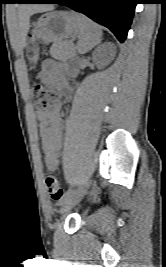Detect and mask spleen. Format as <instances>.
Wrapping results in <instances>:
<instances>
[{"instance_id": "1", "label": "spleen", "mask_w": 166, "mask_h": 267, "mask_svg": "<svg viewBox=\"0 0 166 267\" xmlns=\"http://www.w3.org/2000/svg\"><path fill=\"white\" fill-rule=\"evenodd\" d=\"M79 20L78 52L87 53L101 42V28L84 15L76 14Z\"/></svg>"}]
</instances>
